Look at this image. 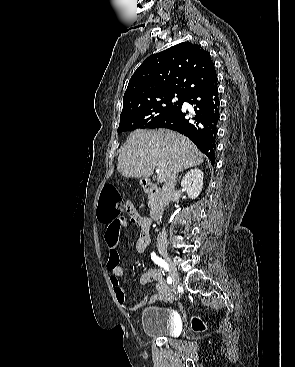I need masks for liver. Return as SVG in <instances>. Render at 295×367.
<instances>
[{
    "label": "liver",
    "instance_id": "liver-1",
    "mask_svg": "<svg viewBox=\"0 0 295 367\" xmlns=\"http://www.w3.org/2000/svg\"><path fill=\"white\" fill-rule=\"evenodd\" d=\"M203 161L200 150L177 132L135 130L118 156L117 170L124 177L149 178L157 168L163 172L166 181L174 170L180 172Z\"/></svg>",
    "mask_w": 295,
    "mask_h": 367
}]
</instances>
